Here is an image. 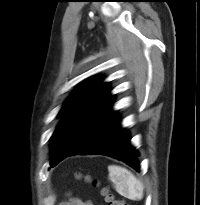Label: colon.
Returning <instances> with one entry per match:
<instances>
[{
	"label": "colon",
	"instance_id": "5ec220e1",
	"mask_svg": "<svg viewBox=\"0 0 200 205\" xmlns=\"http://www.w3.org/2000/svg\"><path fill=\"white\" fill-rule=\"evenodd\" d=\"M88 181H93L90 177H86ZM93 183H96L93 181ZM102 195L108 205H126L123 200L117 199L108 189L104 188L102 190Z\"/></svg>",
	"mask_w": 200,
	"mask_h": 205
}]
</instances>
